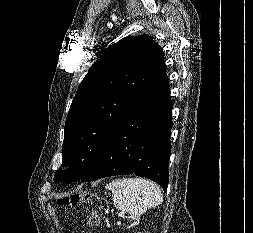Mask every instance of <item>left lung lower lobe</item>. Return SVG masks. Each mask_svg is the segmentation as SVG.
Instances as JSON below:
<instances>
[{
  "label": "left lung lower lobe",
  "mask_w": 253,
  "mask_h": 233,
  "mask_svg": "<svg viewBox=\"0 0 253 233\" xmlns=\"http://www.w3.org/2000/svg\"><path fill=\"white\" fill-rule=\"evenodd\" d=\"M172 103L166 71L116 126L90 172L81 181L135 174L167 190Z\"/></svg>",
  "instance_id": "1"
}]
</instances>
